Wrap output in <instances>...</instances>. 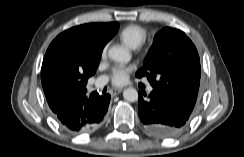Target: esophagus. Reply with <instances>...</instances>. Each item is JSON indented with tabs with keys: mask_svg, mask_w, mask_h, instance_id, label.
Returning <instances> with one entry per match:
<instances>
[{
	"mask_svg": "<svg viewBox=\"0 0 244 157\" xmlns=\"http://www.w3.org/2000/svg\"><path fill=\"white\" fill-rule=\"evenodd\" d=\"M122 90H123V87H121V88H115V89H112V90L110 91V94H111L112 96H115V95L119 94Z\"/></svg>",
	"mask_w": 244,
	"mask_h": 157,
	"instance_id": "obj_1",
	"label": "esophagus"
}]
</instances>
